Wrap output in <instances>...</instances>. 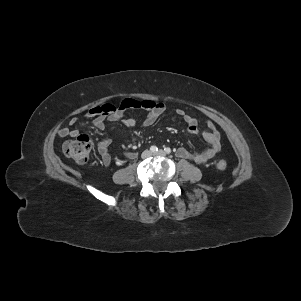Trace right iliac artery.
Instances as JSON below:
<instances>
[{"label": "right iliac artery", "instance_id": "1", "mask_svg": "<svg viewBox=\"0 0 301 301\" xmlns=\"http://www.w3.org/2000/svg\"><path fill=\"white\" fill-rule=\"evenodd\" d=\"M150 150H151V152H157L158 148L156 146H151Z\"/></svg>", "mask_w": 301, "mask_h": 301}]
</instances>
